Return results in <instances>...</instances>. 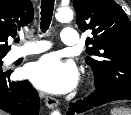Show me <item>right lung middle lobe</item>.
Instances as JSON below:
<instances>
[{
  "label": "right lung middle lobe",
  "instance_id": "obj_1",
  "mask_svg": "<svg viewBox=\"0 0 131 115\" xmlns=\"http://www.w3.org/2000/svg\"><path fill=\"white\" fill-rule=\"evenodd\" d=\"M2 58H3V57H0V72L3 71V70H2V64H3V62L1 61Z\"/></svg>",
  "mask_w": 131,
  "mask_h": 115
}]
</instances>
